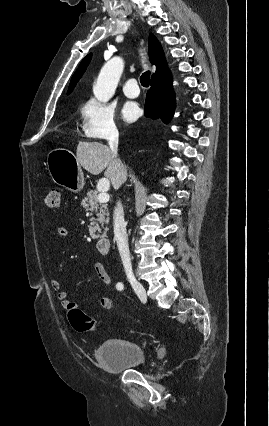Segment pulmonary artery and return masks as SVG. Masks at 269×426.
<instances>
[{"instance_id":"obj_1","label":"pulmonary artery","mask_w":269,"mask_h":426,"mask_svg":"<svg viewBox=\"0 0 269 426\" xmlns=\"http://www.w3.org/2000/svg\"><path fill=\"white\" fill-rule=\"evenodd\" d=\"M123 92L129 98L138 97L140 90L135 78L128 79L123 85Z\"/></svg>"}]
</instances>
